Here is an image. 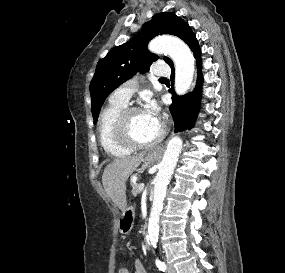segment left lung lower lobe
<instances>
[{
    "label": "left lung lower lobe",
    "instance_id": "1",
    "mask_svg": "<svg viewBox=\"0 0 285 273\" xmlns=\"http://www.w3.org/2000/svg\"><path fill=\"white\" fill-rule=\"evenodd\" d=\"M186 43L197 59L198 78L194 91L187 95L177 96L174 91H170L173 94V102L170 105L169 110L174 119L175 132H181L186 129H190L194 125L200 106V91L203 82L201 74V53L195 35L192 34ZM170 66L172 68V71H174L173 64ZM173 80L174 74L172 73L171 81L173 82Z\"/></svg>",
    "mask_w": 285,
    "mask_h": 273
}]
</instances>
